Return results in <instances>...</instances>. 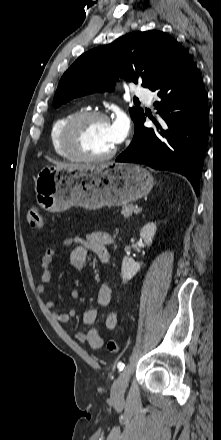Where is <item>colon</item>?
<instances>
[{
	"mask_svg": "<svg viewBox=\"0 0 221 440\" xmlns=\"http://www.w3.org/2000/svg\"><path fill=\"white\" fill-rule=\"evenodd\" d=\"M28 223L32 228L41 229L43 227V217L38 206H31L27 213ZM107 349L111 353H118L120 345L116 340L110 339L107 342Z\"/></svg>",
	"mask_w": 221,
	"mask_h": 440,
	"instance_id": "1",
	"label": "colon"
}]
</instances>
